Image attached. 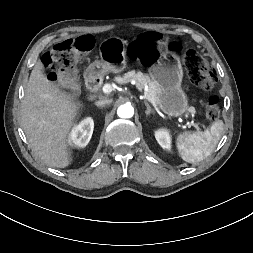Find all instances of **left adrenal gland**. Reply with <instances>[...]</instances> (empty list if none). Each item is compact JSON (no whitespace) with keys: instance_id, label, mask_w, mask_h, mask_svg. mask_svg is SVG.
Wrapping results in <instances>:
<instances>
[{"instance_id":"a2214340","label":"left adrenal gland","mask_w":253,"mask_h":253,"mask_svg":"<svg viewBox=\"0 0 253 253\" xmlns=\"http://www.w3.org/2000/svg\"><path fill=\"white\" fill-rule=\"evenodd\" d=\"M145 103V106L147 107V110H146V116L148 117L151 113L153 114L154 111L151 109L150 105L148 104V102H144Z\"/></svg>"}]
</instances>
